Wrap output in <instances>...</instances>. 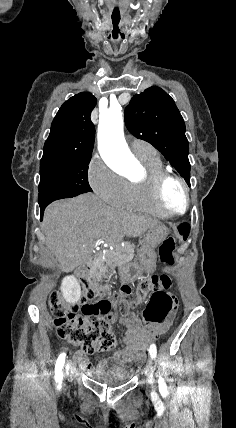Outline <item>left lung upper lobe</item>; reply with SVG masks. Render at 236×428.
Wrapping results in <instances>:
<instances>
[{"label": "left lung upper lobe", "mask_w": 236, "mask_h": 428, "mask_svg": "<svg viewBox=\"0 0 236 428\" xmlns=\"http://www.w3.org/2000/svg\"><path fill=\"white\" fill-rule=\"evenodd\" d=\"M125 123L136 138L158 149L190 186L185 123L174 100L164 90L150 87L134 95L125 109Z\"/></svg>", "instance_id": "left-lung-upper-lobe-1"}]
</instances>
